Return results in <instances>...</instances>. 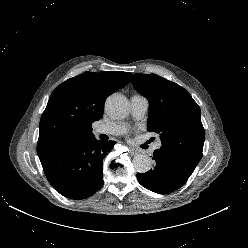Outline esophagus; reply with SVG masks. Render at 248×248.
Returning <instances> with one entry per match:
<instances>
[{
  "instance_id": "esophagus-1",
  "label": "esophagus",
  "mask_w": 248,
  "mask_h": 248,
  "mask_svg": "<svg viewBox=\"0 0 248 248\" xmlns=\"http://www.w3.org/2000/svg\"><path fill=\"white\" fill-rule=\"evenodd\" d=\"M128 151L131 155H136L139 152L137 149L131 147L128 148Z\"/></svg>"
}]
</instances>
